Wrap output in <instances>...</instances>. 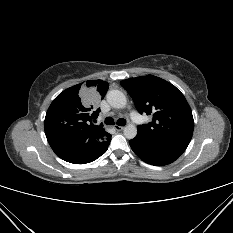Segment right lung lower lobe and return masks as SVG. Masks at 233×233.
<instances>
[{
    "mask_svg": "<svg viewBox=\"0 0 233 233\" xmlns=\"http://www.w3.org/2000/svg\"><path fill=\"white\" fill-rule=\"evenodd\" d=\"M107 149H108V145L106 146V148H105L99 155H97L94 159H92V160L89 161V162H92V161L96 160L98 157H100L102 154H104V153L106 152ZM89 162H87V163H89Z\"/></svg>",
    "mask_w": 233,
    "mask_h": 233,
    "instance_id": "1",
    "label": "right lung lower lobe"
}]
</instances>
